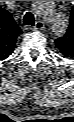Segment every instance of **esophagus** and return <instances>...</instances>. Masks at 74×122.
Segmentation results:
<instances>
[{
	"label": "esophagus",
	"instance_id": "34e87169",
	"mask_svg": "<svg viewBox=\"0 0 74 122\" xmlns=\"http://www.w3.org/2000/svg\"><path fill=\"white\" fill-rule=\"evenodd\" d=\"M33 30H42L44 29V23L40 20H38L36 23H35V26L32 28Z\"/></svg>",
	"mask_w": 74,
	"mask_h": 122
}]
</instances>
